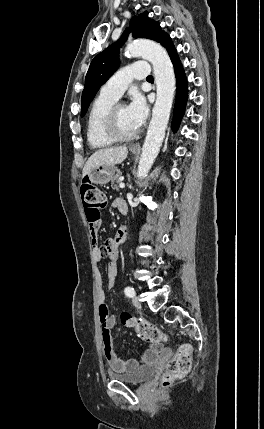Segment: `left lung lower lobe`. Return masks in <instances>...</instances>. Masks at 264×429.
<instances>
[{"instance_id": "0a47b994", "label": "left lung lower lobe", "mask_w": 264, "mask_h": 429, "mask_svg": "<svg viewBox=\"0 0 264 429\" xmlns=\"http://www.w3.org/2000/svg\"><path fill=\"white\" fill-rule=\"evenodd\" d=\"M159 43L167 49L176 74L177 90L172 120V129L176 131L185 112L188 97L187 80L170 36L165 34Z\"/></svg>"}]
</instances>
